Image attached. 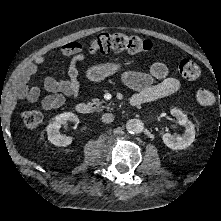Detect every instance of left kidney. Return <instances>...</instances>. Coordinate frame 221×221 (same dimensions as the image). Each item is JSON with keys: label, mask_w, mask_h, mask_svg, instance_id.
<instances>
[{"label": "left kidney", "mask_w": 221, "mask_h": 221, "mask_svg": "<svg viewBox=\"0 0 221 221\" xmlns=\"http://www.w3.org/2000/svg\"><path fill=\"white\" fill-rule=\"evenodd\" d=\"M171 115L177 119L179 125L185 127V133L180 135L163 134V142L173 150H181L189 147L195 140L194 124L188 120L187 116L179 109H172Z\"/></svg>", "instance_id": "5707ae66"}]
</instances>
